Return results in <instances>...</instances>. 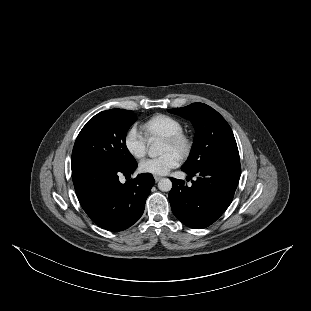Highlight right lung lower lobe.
I'll use <instances>...</instances> for the list:
<instances>
[{"instance_id":"right-lung-lower-lobe-1","label":"right lung lower lobe","mask_w":311,"mask_h":311,"mask_svg":"<svg viewBox=\"0 0 311 311\" xmlns=\"http://www.w3.org/2000/svg\"><path fill=\"white\" fill-rule=\"evenodd\" d=\"M137 168H120L90 162L72 168V179L78 200L98 226L118 232L129 228L143 214L146 199L155 180L150 173L120 183L118 174L129 175Z\"/></svg>"}]
</instances>
